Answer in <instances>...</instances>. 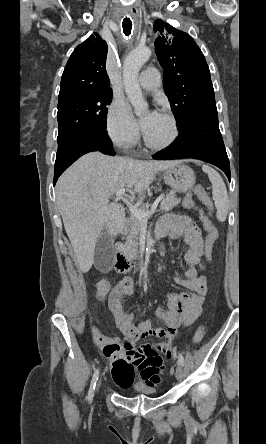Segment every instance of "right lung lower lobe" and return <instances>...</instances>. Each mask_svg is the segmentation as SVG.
<instances>
[{
    "instance_id": "98d812e1",
    "label": "right lung lower lobe",
    "mask_w": 266,
    "mask_h": 444,
    "mask_svg": "<svg viewBox=\"0 0 266 444\" xmlns=\"http://www.w3.org/2000/svg\"><path fill=\"white\" fill-rule=\"evenodd\" d=\"M93 151H100L104 154L115 155L112 142L110 141L106 132H93L85 134L71 142L63 150L57 152L54 168V185L57 182L58 177L73 162H75L82 155Z\"/></svg>"
}]
</instances>
